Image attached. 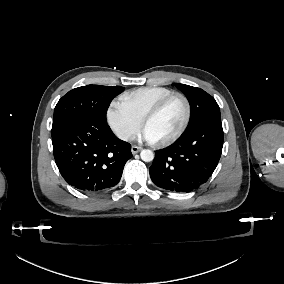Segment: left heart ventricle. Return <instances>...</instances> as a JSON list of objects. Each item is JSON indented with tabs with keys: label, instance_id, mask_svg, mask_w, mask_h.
Instances as JSON below:
<instances>
[{
	"label": "left heart ventricle",
	"instance_id": "obj_1",
	"mask_svg": "<svg viewBox=\"0 0 284 284\" xmlns=\"http://www.w3.org/2000/svg\"><path fill=\"white\" fill-rule=\"evenodd\" d=\"M185 112L184 101L181 98H176L159 115L145 122L144 128L152 134L156 142H161L179 129Z\"/></svg>",
	"mask_w": 284,
	"mask_h": 284
}]
</instances>
